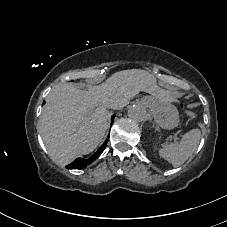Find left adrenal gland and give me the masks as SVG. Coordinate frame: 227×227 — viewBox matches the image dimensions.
I'll return each mask as SVG.
<instances>
[{
    "label": "left adrenal gland",
    "instance_id": "a2214340",
    "mask_svg": "<svg viewBox=\"0 0 227 227\" xmlns=\"http://www.w3.org/2000/svg\"><path fill=\"white\" fill-rule=\"evenodd\" d=\"M153 128H155L156 131H160V128L159 126H155V122H153V125H152Z\"/></svg>",
    "mask_w": 227,
    "mask_h": 227
}]
</instances>
